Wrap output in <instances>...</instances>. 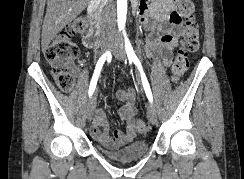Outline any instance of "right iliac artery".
<instances>
[{"label": "right iliac artery", "mask_w": 244, "mask_h": 179, "mask_svg": "<svg viewBox=\"0 0 244 179\" xmlns=\"http://www.w3.org/2000/svg\"><path fill=\"white\" fill-rule=\"evenodd\" d=\"M108 57V60H111V52L110 51H106V53H104L100 59L98 60L97 64H96V67H95V70H94V74L92 76V79H91V82H90V86H89V91H88V94L89 96H92L95 88H96V84H97V80H98V77L100 75V72H101V69H102V66L106 60V58Z\"/></svg>", "instance_id": "82829eb1"}]
</instances>
